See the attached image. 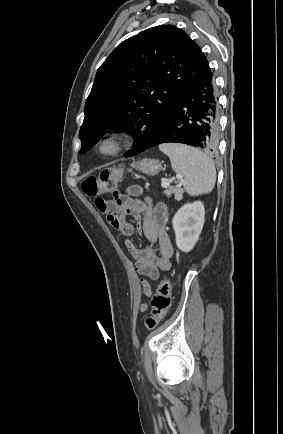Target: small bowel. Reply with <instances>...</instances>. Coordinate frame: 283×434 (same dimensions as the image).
I'll return each mask as SVG.
<instances>
[{
    "instance_id": "1",
    "label": "small bowel",
    "mask_w": 283,
    "mask_h": 434,
    "mask_svg": "<svg viewBox=\"0 0 283 434\" xmlns=\"http://www.w3.org/2000/svg\"><path fill=\"white\" fill-rule=\"evenodd\" d=\"M127 195L115 194L114 201H107L102 198H96L97 208L107 214L109 224L125 236L124 244L135 260V270L152 279L157 280L161 271H167L171 268V257L173 255V246L167 233L166 224L168 212L163 204L153 205L148 198L140 199L138 187H130ZM132 216L136 222V229L146 240L148 246L146 249L137 248L129 239L135 232V227L127 221L126 217ZM143 293L150 296L152 293L149 283L141 280ZM147 308L143 303L141 311Z\"/></svg>"
}]
</instances>
